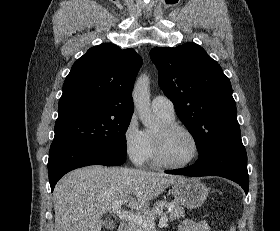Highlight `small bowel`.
<instances>
[{
	"instance_id": "1",
	"label": "small bowel",
	"mask_w": 280,
	"mask_h": 231,
	"mask_svg": "<svg viewBox=\"0 0 280 231\" xmlns=\"http://www.w3.org/2000/svg\"><path fill=\"white\" fill-rule=\"evenodd\" d=\"M178 231H209L206 221L195 222L192 219H185L178 227Z\"/></svg>"
}]
</instances>
